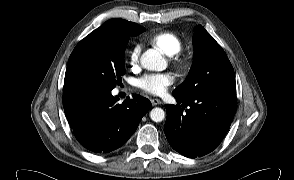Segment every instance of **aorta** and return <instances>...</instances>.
Segmentation results:
<instances>
[{
	"instance_id": "aorta-1",
	"label": "aorta",
	"mask_w": 294,
	"mask_h": 180,
	"mask_svg": "<svg viewBox=\"0 0 294 180\" xmlns=\"http://www.w3.org/2000/svg\"><path fill=\"white\" fill-rule=\"evenodd\" d=\"M141 65L147 70L163 71L167 67V61L157 50L148 49L141 56ZM150 118L154 122H161L165 118V112L159 107L153 108L150 112Z\"/></svg>"
}]
</instances>
